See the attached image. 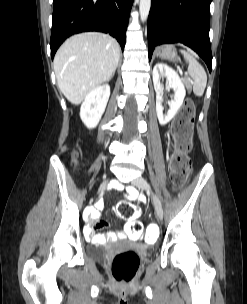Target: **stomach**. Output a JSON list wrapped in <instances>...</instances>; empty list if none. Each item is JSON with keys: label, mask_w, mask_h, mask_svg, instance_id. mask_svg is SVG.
<instances>
[{"label": "stomach", "mask_w": 247, "mask_h": 304, "mask_svg": "<svg viewBox=\"0 0 247 304\" xmlns=\"http://www.w3.org/2000/svg\"><path fill=\"white\" fill-rule=\"evenodd\" d=\"M157 55L161 58H164V59H167L170 61L178 60L176 50H175L174 46H172V45H166V46L161 47L158 50Z\"/></svg>", "instance_id": "0dacf381"}]
</instances>
